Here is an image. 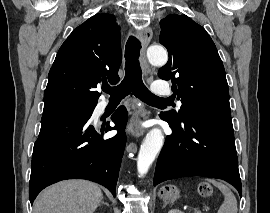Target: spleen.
<instances>
[{"label": "spleen", "mask_w": 270, "mask_h": 213, "mask_svg": "<svg viewBox=\"0 0 270 213\" xmlns=\"http://www.w3.org/2000/svg\"><path fill=\"white\" fill-rule=\"evenodd\" d=\"M207 180L216 186L224 195V202L220 206L218 213H237V200L230 189L223 183L216 180Z\"/></svg>", "instance_id": "3e777b00"}]
</instances>
